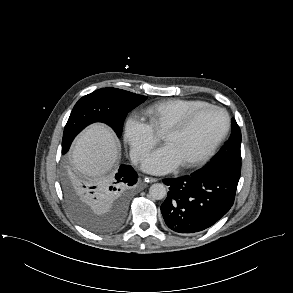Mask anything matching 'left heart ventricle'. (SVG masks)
<instances>
[{"label":"left heart ventricle","mask_w":293,"mask_h":293,"mask_svg":"<svg viewBox=\"0 0 293 293\" xmlns=\"http://www.w3.org/2000/svg\"><path fill=\"white\" fill-rule=\"evenodd\" d=\"M224 127V115L209 109L199 114L183 132L163 135V138L182 164L203 154L222 133Z\"/></svg>","instance_id":"1"}]
</instances>
